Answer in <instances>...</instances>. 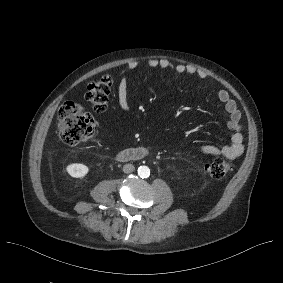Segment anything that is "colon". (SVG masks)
<instances>
[{
	"label": "colon",
	"instance_id": "5ec220e1",
	"mask_svg": "<svg viewBox=\"0 0 283 283\" xmlns=\"http://www.w3.org/2000/svg\"><path fill=\"white\" fill-rule=\"evenodd\" d=\"M113 86L110 76H103L90 83L87 87L85 99L96 112H103L108 104V98ZM95 121L81 105L65 102L58 113V131L61 140L71 146L83 145L94 137ZM204 172L213 178H223L233 169L232 164L223 159L207 162Z\"/></svg>",
	"mask_w": 283,
	"mask_h": 283
}]
</instances>
